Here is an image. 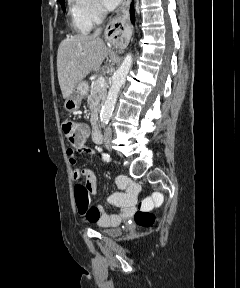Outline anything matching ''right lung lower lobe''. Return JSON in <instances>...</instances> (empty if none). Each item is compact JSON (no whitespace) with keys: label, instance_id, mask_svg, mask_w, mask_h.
Masks as SVG:
<instances>
[{"label":"right lung lower lobe","instance_id":"98d812e1","mask_svg":"<svg viewBox=\"0 0 240 288\" xmlns=\"http://www.w3.org/2000/svg\"><path fill=\"white\" fill-rule=\"evenodd\" d=\"M130 11H131V20H132V22H134L133 3H132V5H131V9H130Z\"/></svg>","mask_w":240,"mask_h":288}]
</instances>
